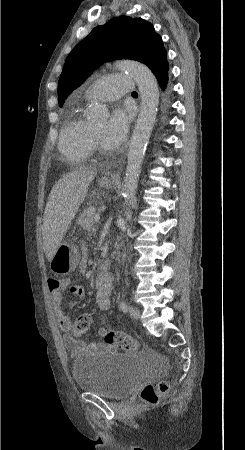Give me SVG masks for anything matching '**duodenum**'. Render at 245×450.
<instances>
[{
  "label": "duodenum",
  "mask_w": 245,
  "mask_h": 450,
  "mask_svg": "<svg viewBox=\"0 0 245 450\" xmlns=\"http://www.w3.org/2000/svg\"><path fill=\"white\" fill-rule=\"evenodd\" d=\"M99 270H100L101 273H105V274L106 273H110V271H111V264L107 263V262H103V263L100 264Z\"/></svg>",
  "instance_id": "410a0bca"
}]
</instances>
